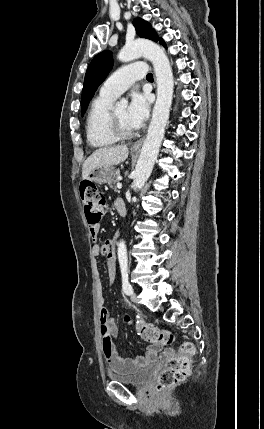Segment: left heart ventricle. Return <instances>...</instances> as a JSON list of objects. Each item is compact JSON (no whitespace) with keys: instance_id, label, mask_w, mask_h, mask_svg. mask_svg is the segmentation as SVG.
I'll return each instance as SVG.
<instances>
[{"instance_id":"b2bd125f","label":"left heart ventricle","mask_w":264,"mask_h":429,"mask_svg":"<svg viewBox=\"0 0 264 429\" xmlns=\"http://www.w3.org/2000/svg\"><path fill=\"white\" fill-rule=\"evenodd\" d=\"M116 116L121 123V125L128 131H133L135 128L131 125L127 118V107L126 106H118L115 108Z\"/></svg>"}]
</instances>
